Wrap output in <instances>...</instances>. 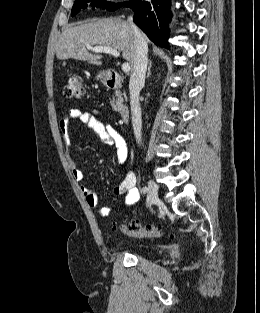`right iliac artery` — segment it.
<instances>
[{"label":"right iliac artery","mask_w":260,"mask_h":313,"mask_svg":"<svg viewBox=\"0 0 260 313\" xmlns=\"http://www.w3.org/2000/svg\"><path fill=\"white\" fill-rule=\"evenodd\" d=\"M147 190H148L147 187H143L141 191H142L143 193H145V192H147ZM137 191H138V190H137Z\"/></svg>","instance_id":"obj_1"}]
</instances>
